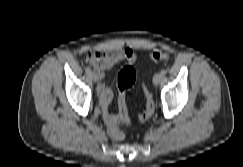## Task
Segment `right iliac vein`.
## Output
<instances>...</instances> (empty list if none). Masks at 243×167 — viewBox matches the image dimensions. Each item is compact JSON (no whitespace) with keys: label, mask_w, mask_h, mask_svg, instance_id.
<instances>
[{"label":"right iliac vein","mask_w":243,"mask_h":167,"mask_svg":"<svg viewBox=\"0 0 243 167\" xmlns=\"http://www.w3.org/2000/svg\"><path fill=\"white\" fill-rule=\"evenodd\" d=\"M90 78L94 81L97 82L98 81V76L95 72H91L90 73Z\"/></svg>","instance_id":"obj_1"}]
</instances>
